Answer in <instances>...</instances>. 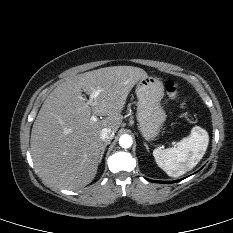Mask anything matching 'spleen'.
<instances>
[{
    "label": "spleen",
    "instance_id": "1",
    "mask_svg": "<svg viewBox=\"0 0 233 233\" xmlns=\"http://www.w3.org/2000/svg\"><path fill=\"white\" fill-rule=\"evenodd\" d=\"M209 142L207 131L192 128L190 136L183 138L174 148H156L153 156L157 165L170 177H179L192 170L204 156Z\"/></svg>",
    "mask_w": 233,
    "mask_h": 233
}]
</instances>
